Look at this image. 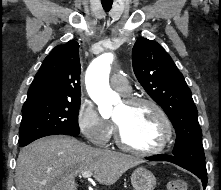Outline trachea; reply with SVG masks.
Segmentation results:
<instances>
[{"label": "trachea", "mask_w": 221, "mask_h": 190, "mask_svg": "<svg viewBox=\"0 0 221 190\" xmlns=\"http://www.w3.org/2000/svg\"><path fill=\"white\" fill-rule=\"evenodd\" d=\"M112 4H113V1H110V2L102 1V6L105 11H109L112 7Z\"/></svg>", "instance_id": "trachea-1"}]
</instances>
